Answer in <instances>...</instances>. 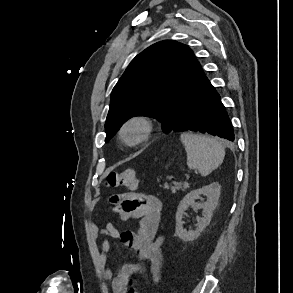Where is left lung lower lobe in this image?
Listing matches in <instances>:
<instances>
[{
    "label": "left lung lower lobe",
    "instance_id": "0a47b994",
    "mask_svg": "<svg viewBox=\"0 0 293 293\" xmlns=\"http://www.w3.org/2000/svg\"><path fill=\"white\" fill-rule=\"evenodd\" d=\"M172 131L210 133L234 141V132L225 107L215 88L209 86L188 103Z\"/></svg>",
    "mask_w": 293,
    "mask_h": 293
}]
</instances>
